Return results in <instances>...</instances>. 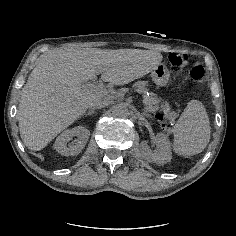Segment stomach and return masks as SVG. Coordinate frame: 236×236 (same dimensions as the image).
<instances>
[{
  "instance_id": "stomach-1",
  "label": "stomach",
  "mask_w": 236,
  "mask_h": 236,
  "mask_svg": "<svg viewBox=\"0 0 236 236\" xmlns=\"http://www.w3.org/2000/svg\"><path fill=\"white\" fill-rule=\"evenodd\" d=\"M152 80L158 86H165L169 80L170 73L163 64L158 65L151 74Z\"/></svg>"
}]
</instances>
